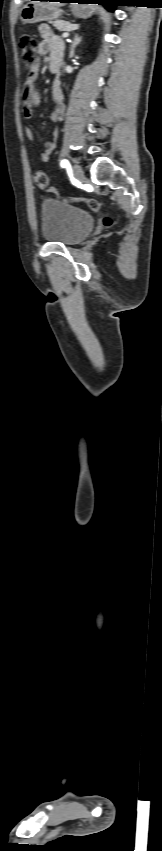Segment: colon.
<instances>
[{"label": "colon", "mask_w": 162, "mask_h": 851, "mask_svg": "<svg viewBox=\"0 0 162 851\" xmlns=\"http://www.w3.org/2000/svg\"><path fill=\"white\" fill-rule=\"evenodd\" d=\"M19 47H20V51H21L22 60L25 64V66L30 70L32 68V66L34 65L35 61H36V54H37V51H38V44H37V40H36L35 36L32 35V34H29V33L22 34L21 37H20V40H19ZM34 181H35V184L37 185L38 188L45 190V191H48V192L58 196L60 199H62L63 201H65L67 203H75V204L85 205V206L89 207L91 210H94V211L98 210L99 207H100L99 202L95 199H90V198L69 199V198L62 197L58 193L56 188L50 186L49 178H48L47 174L42 170H37L34 173ZM104 221H105L106 225H111L113 223L112 218L109 217V216L105 217Z\"/></svg>", "instance_id": "1"}]
</instances>
